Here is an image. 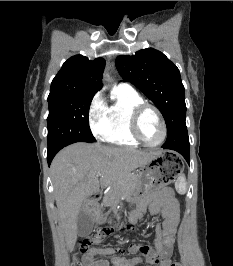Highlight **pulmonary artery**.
<instances>
[{"label": "pulmonary artery", "instance_id": "e3ab8cb5", "mask_svg": "<svg viewBox=\"0 0 233 266\" xmlns=\"http://www.w3.org/2000/svg\"><path fill=\"white\" fill-rule=\"evenodd\" d=\"M119 85L124 86V87L132 88L128 83H120Z\"/></svg>", "mask_w": 233, "mask_h": 266}]
</instances>
